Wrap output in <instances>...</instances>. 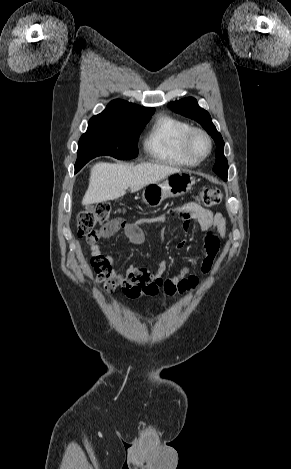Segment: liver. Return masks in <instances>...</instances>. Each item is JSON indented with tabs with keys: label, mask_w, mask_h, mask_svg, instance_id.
<instances>
[{
	"label": "liver",
	"mask_w": 291,
	"mask_h": 469,
	"mask_svg": "<svg viewBox=\"0 0 291 469\" xmlns=\"http://www.w3.org/2000/svg\"><path fill=\"white\" fill-rule=\"evenodd\" d=\"M180 169L162 164L142 163L136 166L99 162L92 169L82 204L87 206L125 195L128 188L136 192L156 183Z\"/></svg>",
	"instance_id": "6515ba94"
}]
</instances>
